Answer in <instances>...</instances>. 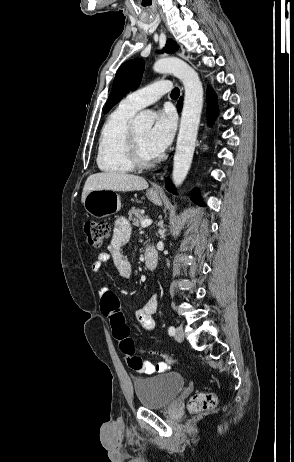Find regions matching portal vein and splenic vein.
Returning a JSON list of instances; mask_svg holds the SVG:
<instances>
[{
	"mask_svg": "<svg viewBox=\"0 0 294 462\" xmlns=\"http://www.w3.org/2000/svg\"><path fill=\"white\" fill-rule=\"evenodd\" d=\"M151 223H152V220H150V219L143 220L141 222V227L142 228L148 227L149 225H151Z\"/></svg>",
	"mask_w": 294,
	"mask_h": 462,
	"instance_id": "18ae733b",
	"label": "portal vein and splenic vein"
}]
</instances>
